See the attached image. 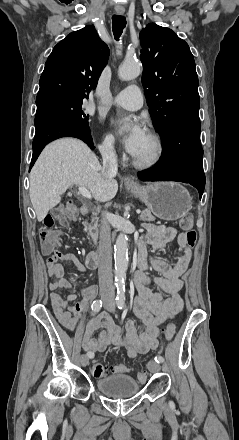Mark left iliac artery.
<instances>
[{
    "label": "left iliac artery",
    "mask_w": 239,
    "mask_h": 440,
    "mask_svg": "<svg viewBox=\"0 0 239 440\" xmlns=\"http://www.w3.org/2000/svg\"><path fill=\"white\" fill-rule=\"evenodd\" d=\"M116 304L119 309L125 307V287H120L117 291ZM157 363H162L164 358L162 356H156L154 359Z\"/></svg>",
    "instance_id": "obj_1"
}]
</instances>
